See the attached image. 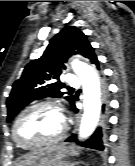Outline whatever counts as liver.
I'll list each match as a JSON object with an SVG mask.
<instances>
[{"mask_svg":"<svg viewBox=\"0 0 135 166\" xmlns=\"http://www.w3.org/2000/svg\"><path fill=\"white\" fill-rule=\"evenodd\" d=\"M26 164V160L25 161H22L18 164V166H24Z\"/></svg>","mask_w":135,"mask_h":166,"instance_id":"obj_1","label":"liver"}]
</instances>
